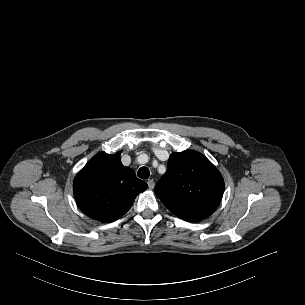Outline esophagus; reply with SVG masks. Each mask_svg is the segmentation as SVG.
Here are the masks:
<instances>
[{"instance_id": "1", "label": "esophagus", "mask_w": 305, "mask_h": 305, "mask_svg": "<svg viewBox=\"0 0 305 305\" xmlns=\"http://www.w3.org/2000/svg\"><path fill=\"white\" fill-rule=\"evenodd\" d=\"M147 184H148L149 189H153L154 186H155V181H154V179H149V180L147 181Z\"/></svg>"}]
</instances>
